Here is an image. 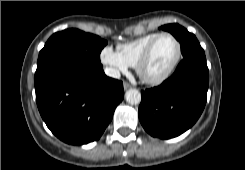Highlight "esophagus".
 Segmentation results:
<instances>
[{
  "instance_id": "1",
  "label": "esophagus",
  "mask_w": 245,
  "mask_h": 170,
  "mask_svg": "<svg viewBox=\"0 0 245 170\" xmlns=\"http://www.w3.org/2000/svg\"><path fill=\"white\" fill-rule=\"evenodd\" d=\"M123 87H124V90H127V89L130 88V84L127 83V82H125V83L123 84Z\"/></svg>"
}]
</instances>
